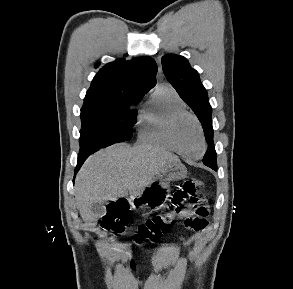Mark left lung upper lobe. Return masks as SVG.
Here are the masks:
<instances>
[{
    "label": "left lung upper lobe",
    "mask_w": 293,
    "mask_h": 289,
    "mask_svg": "<svg viewBox=\"0 0 293 289\" xmlns=\"http://www.w3.org/2000/svg\"><path fill=\"white\" fill-rule=\"evenodd\" d=\"M162 68L169 83L189 105L202 124L208 143L203 163L212 169L217 168V156L213 143L212 108L198 72L191 68L184 57L174 54L162 57Z\"/></svg>",
    "instance_id": "obj_1"
}]
</instances>
